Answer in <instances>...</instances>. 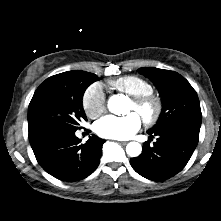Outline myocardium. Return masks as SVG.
I'll use <instances>...</instances> for the list:
<instances>
[{
    "instance_id": "myocardium-1",
    "label": "myocardium",
    "mask_w": 221,
    "mask_h": 221,
    "mask_svg": "<svg viewBox=\"0 0 221 221\" xmlns=\"http://www.w3.org/2000/svg\"><path fill=\"white\" fill-rule=\"evenodd\" d=\"M131 103L146 124L157 122L162 114V102L153 93L132 97Z\"/></svg>"
}]
</instances>
